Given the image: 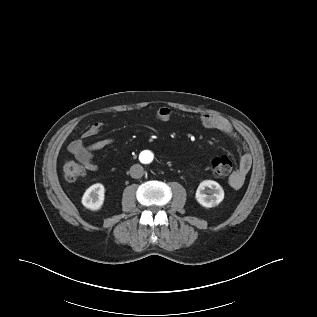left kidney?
Instances as JSON below:
<instances>
[{"mask_svg":"<svg viewBox=\"0 0 317 317\" xmlns=\"http://www.w3.org/2000/svg\"><path fill=\"white\" fill-rule=\"evenodd\" d=\"M197 202L206 208L218 205L224 198L223 188L213 180L202 181L196 191Z\"/></svg>","mask_w":317,"mask_h":317,"instance_id":"left-kidney-1","label":"left kidney"}]
</instances>
